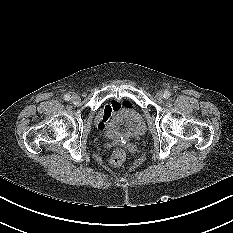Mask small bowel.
<instances>
[{
    "label": "small bowel",
    "instance_id": "1",
    "mask_svg": "<svg viewBox=\"0 0 233 233\" xmlns=\"http://www.w3.org/2000/svg\"><path fill=\"white\" fill-rule=\"evenodd\" d=\"M131 103L128 100L119 101L112 99L108 104L100 109L96 116V124L101 131H105L109 121L123 108L130 107Z\"/></svg>",
    "mask_w": 233,
    "mask_h": 233
}]
</instances>
